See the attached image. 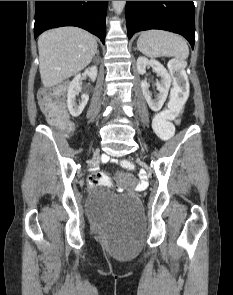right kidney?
<instances>
[{
  "label": "right kidney",
  "instance_id": "obj_1",
  "mask_svg": "<svg viewBox=\"0 0 233 295\" xmlns=\"http://www.w3.org/2000/svg\"><path fill=\"white\" fill-rule=\"evenodd\" d=\"M97 72V67L91 66L85 70L84 74L88 75L92 81H95ZM80 79L81 74H77L67 88V107L73 117H78L82 113L89 100L88 94H83L81 95V100H79L78 103L76 102V96H78L81 91Z\"/></svg>",
  "mask_w": 233,
  "mask_h": 295
}]
</instances>
